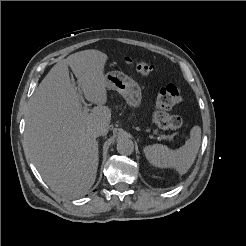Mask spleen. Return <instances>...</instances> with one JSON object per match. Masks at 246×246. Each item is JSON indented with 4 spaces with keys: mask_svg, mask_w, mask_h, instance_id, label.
I'll use <instances>...</instances> for the list:
<instances>
[{
    "mask_svg": "<svg viewBox=\"0 0 246 246\" xmlns=\"http://www.w3.org/2000/svg\"><path fill=\"white\" fill-rule=\"evenodd\" d=\"M201 143V128L193 126L190 138L177 150H171L162 144H153L144 148V154L150 164L159 168H174L183 175L194 163Z\"/></svg>",
    "mask_w": 246,
    "mask_h": 246,
    "instance_id": "3e777b00",
    "label": "spleen"
}]
</instances>
